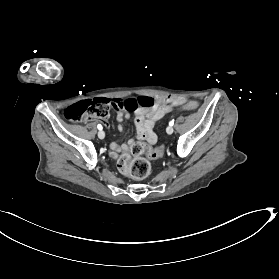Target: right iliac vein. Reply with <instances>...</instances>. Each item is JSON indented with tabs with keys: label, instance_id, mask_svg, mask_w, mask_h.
<instances>
[{
	"label": "right iliac vein",
	"instance_id": "obj_1",
	"mask_svg": "<svg viewBox=\"0 0 279 279\" xmlns=\"http://www.w3.org/2000/svg\"><path fill=\"white\" fill-rule=\"evenodd\" d=\"M98 137H99L100 139H104V137H105L104 131H99V132H98Z\"/></svg>",
	"mask_w": 279,
	"mask_h": 279
}]
</instances>
